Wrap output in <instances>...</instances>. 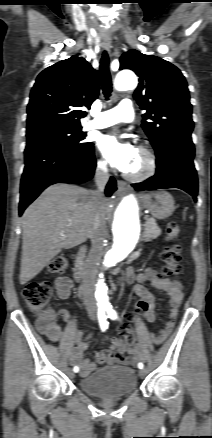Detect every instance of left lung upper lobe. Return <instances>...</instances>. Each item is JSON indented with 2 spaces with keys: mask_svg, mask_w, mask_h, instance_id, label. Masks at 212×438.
Here are the masks:
<instances>
[{
  "mask_svg": "<svg viewBox=\"0 0 212 438\" xmlns=\"http://www.w3.org/2000/svg\"><path fill=\"white\" fill-rule=\"evenodd\" d=\"M120 69L139 76L134 92L143 114L142 127L154 149L167 139L191 136L194 122L187 82L173 64L130 50L120 58Z\"/></svg>",
  "mask_w": 212,
  "mask_h": 438,
  "instance_id": "left-lung-upper-lobe-1",
  "label": "left lung upper lobe"
}]
</instances>
